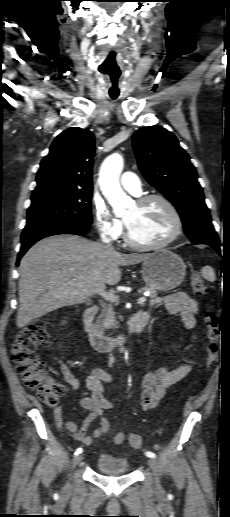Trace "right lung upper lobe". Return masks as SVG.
<instances>
[{
    "label": "right lung upper lobe",
    "mask_w": 230,
    "mask_h": 517,
    "mask_svg": "<svg viewBox=\"0 0 230 517\" xmlns=\"http://www.w3.org/2000/svg\"><path fill=\"white\" fill-rule=\"evenodd\" d=\"M94 135L73 127L53 141L37 172L31 199L55 193L92 190Z\"/></svg>",
    "instance_id": "1"
}]
</instances>
